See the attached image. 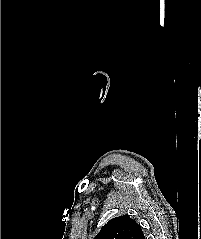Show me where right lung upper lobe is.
<instances>
[{"mask_svg":"<svg viewBox=\"0 0 201 239\" xmlns=\"http://www.w3.org/2000/svg\"><path fill=\"white\" fill-rule=\"evenodd\" d=\"M94 239H145L141 227L128 215L111 219Z\"/></svg>","mask_w":201,"mask_h":239,"instance_id":"1","label":"right lung upper lobe"}]
</instances>
